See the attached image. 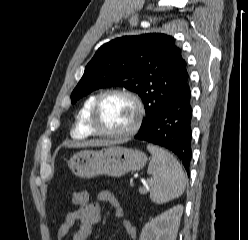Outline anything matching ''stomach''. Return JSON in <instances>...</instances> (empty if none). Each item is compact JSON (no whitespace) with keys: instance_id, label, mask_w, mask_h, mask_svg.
<instances>
[{"instance_id":"obj_1","label":"stomach","mask_w":248,"mask_h":240,"mask_svg":"<svg viewBox=\"0 0 248 240\" xmlns=\"http://www.w3.org/2000/svg\"><path fill=\"white\" fill-rule=\"evenodd\" d=\"M146 162L147 157L140 150L109 146L99 151L75 153L67 163L75 175L92 178L98 175L121 177L130 171H139Z\"/></svg>"}]
</instances>
